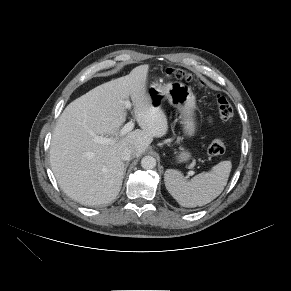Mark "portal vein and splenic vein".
<instances>
[{"mask_svg": "<svg viewBox=\"0 0 291 291\" xmlns=\"http://www.w3.org/2000/svg\"><path fill=\"white\" fill-rule=\"evenodd\" d=\"M126 108L130 109L131 108V103L130 102H126L125 103ZM134 128V122L133 121H129L127 124H125L123 126V128L121 129L120 133L121 135H125L126 133L130 132L132 129ZM94 141L100 144H109L112 142V140L110 138H106V137H101V136H96L94 138ZM188 175L191 176L193 175V171L188 172Z\"/></svg>", "mask_w": 291, "mask_h": 291, "instance_id": "portal-vein-and-splenic-vein-1", "label": "portal vein and splenic vein"}]
</instances>
